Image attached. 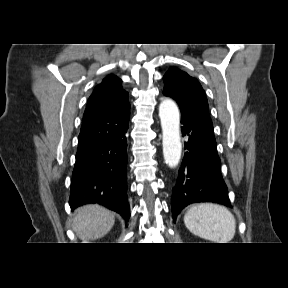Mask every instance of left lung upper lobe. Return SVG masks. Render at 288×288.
<instances>
[{
  "mask_svg": "<svg viewBox=\"0 0 288 288\" xmlns=\"http://www.w3.org/2000/svg\"><path fill=\"white\" fill-rule=\"evenodd\" d=\"M163 94L179 104L181 113H192L212 123L205 92L200 83L186 72L172 67L163 77Z\"/></svg>",
  "mask_w": 288,
  "mask_h": 288,
  "instance_id": "left-lung-upper-lobe-1",
  "label": "left lung upper lobe"
}]
</instances>
